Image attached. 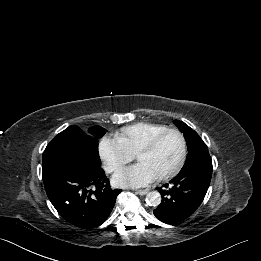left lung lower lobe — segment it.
Wrapping results in <instances>:
<instances>
[{"instance_id": "left-lung-lower-lobe-1", "label": "left lung lower lobe", "mask_w": 261, "mask_h": 261, "mask_svg": "<svg viewBox=\"0 0 261 261\" xmlns=\"http://www.w3.org/2000/svg\"><path fill=\"white\" fill-rule=\"evenodd\" d=\"M212 175V161L208 150L198 154L180 173L157 188L162 196L161 204L153 211L162 222L173 224L191 216L202 203Z\"/></svg>"}]
</instances>
